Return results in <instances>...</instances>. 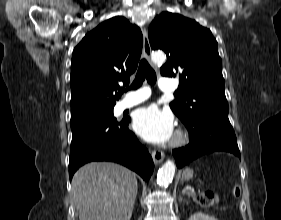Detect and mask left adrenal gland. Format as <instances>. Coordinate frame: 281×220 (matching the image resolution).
Listing matches in <instances>:
<instances>
[{"label":"left adrenal gland","mask_w":281,"mask_h":220,"mask_svg":"<svg viewBox=\"0 0 281 220\" xmlns=\"http://www.w3.org/2000/svg\"><path fill=\"white\" fill-rule=\"evenodd\" d=\"M182 193L184 194L185 192L183 191ZM182 200H184V199H183L182 196L180 195V196H179V202H181Z\"/></svg>","instance_id":"left-adrenal-gland-1"}]
</instances>
